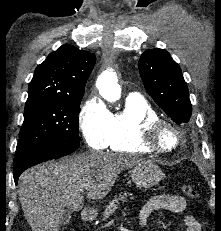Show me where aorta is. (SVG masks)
I'll list each match as a JSON object with an SVG mask.
<instances>
[{
  "instance_id": "aorta-1",
  "label": "aorta",
  "mask_w": 221,
  "mask_h": 231,
  "mask_svg": "<svg viewBox=\"0 0 221 231\" xmlns=\"http://www.w3.org/2000/svg\"><path fill=\"white\" fill-rule=\"evenodd\" d=\"M117 82V76L112 71L103 72L97 80L100 95L109 102H114L121 96V88Z\"/></svg>"
}]
</instances>
